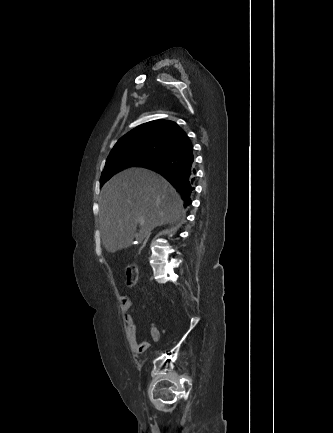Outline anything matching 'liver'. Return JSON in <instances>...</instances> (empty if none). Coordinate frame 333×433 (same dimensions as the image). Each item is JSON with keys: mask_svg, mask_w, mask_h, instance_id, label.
<instances>
[{"mask_svg": "<svg viewBox=\"0 0 333 433\" xmlns=\"http://www.w3.org/2000/svg\"><path fill=\"white\" fill-rule=\"evenodd\" d=\"M99 224L105 249L110 253L128 248L137 236L141 239L153 228L183 222V201L162 176L144 168L125 169L102 188Z\"/></svg>", "mask_w": 333, "mask_h": 433, "instance_id": "obj_1", "label": "liver"}]
</instances>
